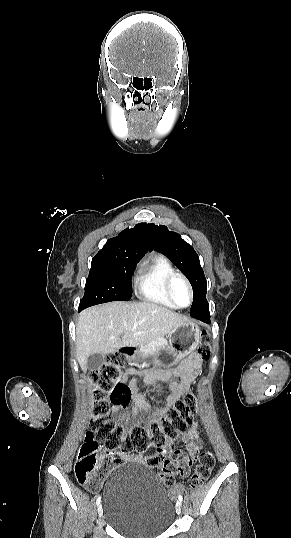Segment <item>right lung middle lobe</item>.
I'll use <instances>...</instances> for the list:
<instances>
[{
  "mask_svg": "<svg viewBox=\"0 0 291 538\" xmlns=\"http://www.w3.org/2000/svg\"><path fill=\"white\" fill-rule=\"evenodd\" d=\"M139 260L125 256H95L78 310L110 301L130 300L131 278Z\"/></svg>",
  "mask_w": 291,
  "mask_h": 538,
  "instance_id": "dd1d6c3e",
  "label": "right lung middle lobe"
}]
</instances>
